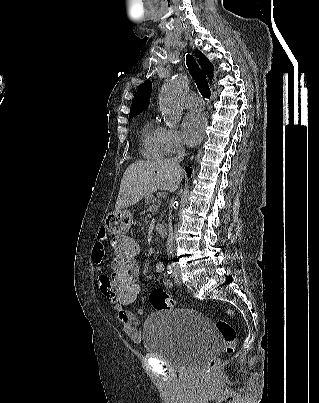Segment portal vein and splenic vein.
Segmentation results:
<instances>
[{
  "label": "portal vein and splenic vein",
  "mask_w": 319,
  "mask_h": 403,
  "mask_svg": "<svg viewBox=\"0 0 319 403\" xmlns=\"http://www.w3.org/2000/svg\"><path fill=\"white\" fill-rule=\"evenodd\" d=\"M157 208H158V206H152L150 209L152 210V211H156L157 210Z\"/></svg>",
  "instance_id": "1"
}]
</instances>
